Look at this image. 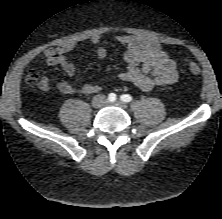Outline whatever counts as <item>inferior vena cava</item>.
<instances>
[{
	"instance_id": "obj_1",
	"label": "inferior vena cava",
	"mask_w": 222,
	"mask_h": 219,
	"mask_svg": "<svg viewBox=\"0 0 222 219\" xmlns=\"http://www.w3.org/2000/svg\"><path fill=\"white\" fill-rule=\"evenodd\" d=\"M100 99H104L105 97L103 95L98 96Z\"/></svg>"
}]
</instances>
